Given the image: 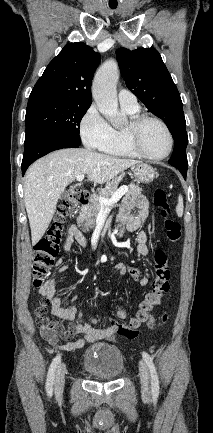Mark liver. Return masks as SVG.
Here are the masks:
<instances>
[{
    "instance_id": "1",
    "label": "liver",
    "mask_w": 213,
    "mask_h": 433,
    "mask_svg": "<svg viewBox=\"0 0 213 433\" xmlns=\"http://www.w3.org/2000/svg\"><path fill=\"white\" fill-rule=\"evenodd\" d=\"M138 163L83 148L61 149L35 161L28 168L24 181L32 244L42 238L61 194L78 175L87 174L89 181L103 184Z\"/></svg>"
}]
</instances>
